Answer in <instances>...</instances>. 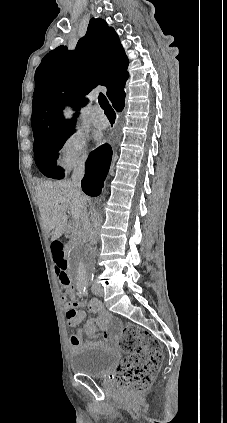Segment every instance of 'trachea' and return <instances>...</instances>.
Masks as SVG:
<instances>
[{
	"instance_id": "trachea-1",
	"label": "trachea",
	"mask_w": 227,
	"mask_h": 423,
	"mask_svg": "<svg viewBox=\"0 0 227 423\" xmlns=\"http://www.w3.org/2000/svg\"><path fill=\"white\" fill-rule=\"evenodd\" d=\"M98 102L100 104V107L104 110L105 115L107 117H111V116L116 117L115 111L113 110L107 98L105 97V95H103V93L99 94Z\"/></svg>"
}]
</instances>
